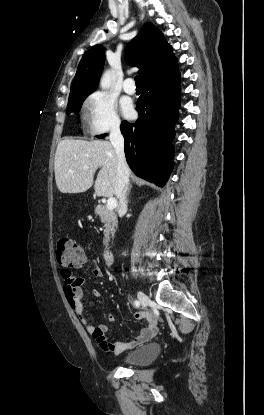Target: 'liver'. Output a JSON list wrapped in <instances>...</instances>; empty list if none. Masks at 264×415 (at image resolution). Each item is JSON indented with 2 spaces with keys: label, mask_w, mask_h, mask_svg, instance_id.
<instances>
[{
  "label": "liver",
  "mask_w": 264,
  "mask_h": 415,
  "mask_svg": "<svg viewBox=\"0 0 264 415\" xmlns=\"http://www.w3.org/2000/svg\"><path fill=\"white\" fill-rule=\"evenodd\" d=\"M117 156L112 144L103 140L65 139L56 149L54 170L56 185L62 193H82L93 184L97 196L115 194ZM88 167V169H85Z\"/></svg>",
  "instance_id": "obj_1"
}]
</instances>
